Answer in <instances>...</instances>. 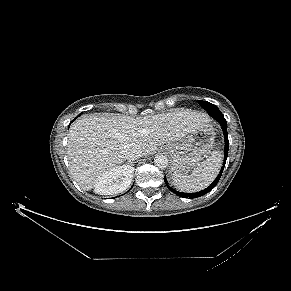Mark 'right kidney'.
<instances>
[{
  "label": "right kidney",
  "instance_id": "1",
  "mask_svg": "<svg viewBox=\"0 0 291 291\" xmlns=\"http://www.w3.org/2000/svg\"><path fill=\"white\" fill-rule=\"evenodd\" d=\"M134 168L122 165L102 174L96 184L95 193L101 195H113L123 192L132 181Z\"/></svg>",
  "mask_w": 291,
  "mask_h": 291
}]
</instances>
